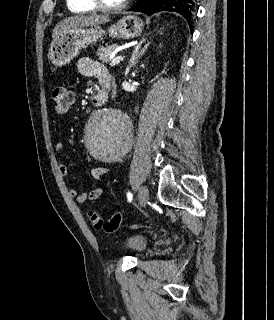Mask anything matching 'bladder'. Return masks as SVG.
Instances as JSON below:
<instances>
[{"instance_id":"31cf9c89","label":"bladder","mask_w":274,"mask_h":320,"mask_svg":"<svg viewBox=\"0 0 274 320\" xmlns=\"http://www.w3.org/2000/svg\"><path fill=\"white\" fill-rule=\"evenodd\" d=\"M122 247L134 254H140L146 250L147 242L141 236L126 237L122 241Z\"/></svg>"}]
</instances>
